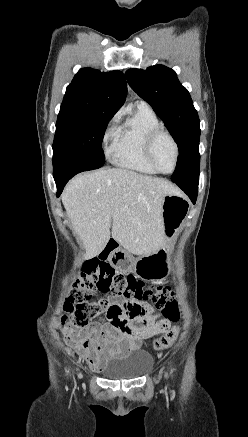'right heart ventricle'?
<instances>
[{"instance_id": "e07e8e85", "label": "right heart ventricle", "mask_w": 248, "mask_h": 437, "mask_svg": "<svg viewBox=\"0 0 248 437\" xmlns=\"http://www.w3.org/2000/svg\"><path fill=\"white\" fill-rule=\"evenodd\" d=\"M160 126V120L150 107L137 106L134 113L117 127L111 148L113 162L142 174H157L145 157L144 146L150 132Z\"/></svg>"}]
</instances>
